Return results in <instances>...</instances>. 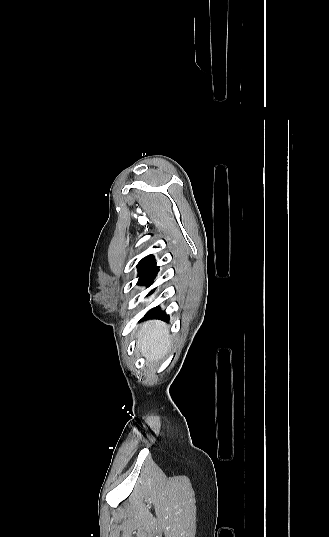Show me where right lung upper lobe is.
Returning <instances> with one entry per match:
<instances>
[{"instance_id":"obj_1","label":"right lung upper lobe","mask_w":329,"mask_h":537,"mask_svg":"<svg viewBox=\"0 0 329 537\" xmlns=\"http://www.w3.org/2000/svg\"><path fill=\"white\" fill-rule=\"evenodd\" d=\"M154 262V257L153 256H148V257H145L144 259H142L140 261V265H148V264H152Z\"/></svg>"}]
</instances>
